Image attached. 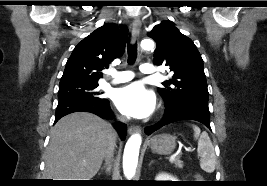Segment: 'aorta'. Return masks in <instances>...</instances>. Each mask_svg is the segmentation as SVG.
Here are the masks:
<instances>
[{"mask_svg":"<svg viewBox=\"0 0 267 186\" xmlns=\"http://www.w3.org/2000/svg\"><path fill=\"white\" fill-rule=\"evenodd\" d=\"M141 48L144 50H153L154 42L151 39H145L141 42ZM142 138L139 134H133L127 141L123 154V172L124 176L130 180L134 177L137 164L139 149Z\"/></svg>","mask_w":267,"mask_h":186,"instance_id":"obj_1","label":"aorta"}]
</instances>
